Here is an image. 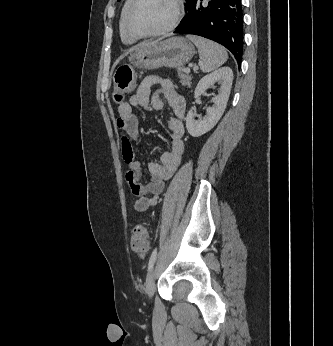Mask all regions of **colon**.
Wrapping results in <instances>:
<instances>
[{"mask_svg": "<svg viewBox=\"0 0 333 346\" xmlns=\"http://www.w3.org/2000/svg\"><path fill=\"white\" fill-rule=\"evenodd\" d=\"M133 68L130 65L120 66L114 76V98L122 102L132 91ZM131 250L137 255H144L149 247V233L145 226L134 228L130 238Z\"/></svg>", "mask_w": 333, "mask_h": 346, "instance_id": "obj_1", "label": "colon"}]
</instances>
